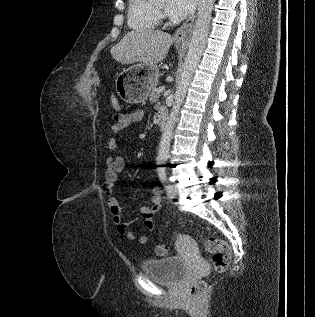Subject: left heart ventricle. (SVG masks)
Here are the masks:
<instances>
[{
    "label": "left heart ventricle",
    "mask_w": 315,
    "mask_h": 317,
    "mask_svg": "<svg viewBox=\"0 0 315 317\" xmlns=\"http://www.w3.org/2000/svg\"><path fill=\"white\" fill-rule=\"evenodd\" d=\"M158 7H159V8H163V7H164V4H160Z\"/></svg>",
    "instance_id": "b2bd125f"
}]
</instances>
